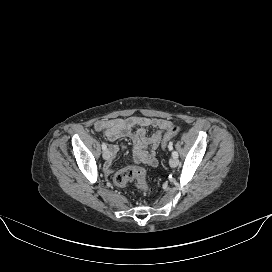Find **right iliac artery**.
I'll list each match as a JSON object with an SVG mask.
<instances>
[{"label":"right iliac artery","instance_id":"obj_1","mask_svg":"<svg viewBox=\"0 0 272 272\" xmlns=\"http://www.w3.org/2000/svg\"><path fill=\"white\" fill-rule=\"evenodd\" d=\"M102 149H103V150H106V149H107V145H106V143H104V142L102 143Z\"/></svg>","mask_w":272,"mask_h":272}]
</instances>
